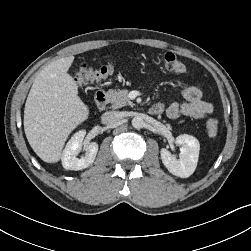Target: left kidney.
Returning <instances> with one entry per match:
<instances>
[{
	"mask_svg": "<svg viewBox=\"0 0 251 251\" xmlns=\"http://www.w3.org/2000/svg\"><path fill=\"white\" fill-rule=\"evenodd\" d=\"M175 142L181 146L179 159L167 149L162 148L160 151L161 160L171 174L181 178H187L192 175L196 169L200 144L195 137L187 134L179 135Z\"/></svg>",
	"mask_w": 251,
	"mask_h": 251,
	"instance_id": "left-kidney-1",
	"label": "left kidney"
}]
</instances>
